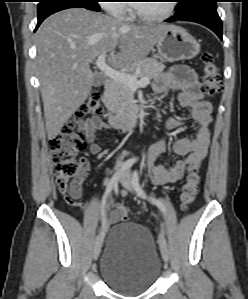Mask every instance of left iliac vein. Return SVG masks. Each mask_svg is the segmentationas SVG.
<instances>
[{"label": "left iliac vein", "mask_w": 248, "mask_h": 299, "mask_svg": "<svg viewBox=\"0 0 248 299\" xmlns=\"http://www.w3.org/2000/svg\"><path fill=\"white\" fill-rule=\"evenodd\" d=\"M120 183L127 188L129 191H132L131 180H130V172L126 171L120 178ZM159 248L161 251V255L164 261H168L169 259V251L167 241L163 233H160L158 236Z\"/></svg>", "instance_id": "1"}]
</instances>
